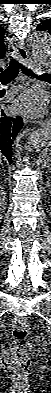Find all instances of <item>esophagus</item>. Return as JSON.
<instances>
[{"label":"esophagus","instance_id":"esophagus-1","mask_svg":"<svg viewBox=\"0 0 51 393\" xmlns=\"http://www.w3.org/2000/svg\"><path fill=\"white\" fill-rule=\"evenodd\" d=\"M12 42L15 45V49L17 51V54H18V57H19L21 63L23 65L31 68L32 63L30 61L29 54H28V51L26 50V48L23 45L17 43V40L15 37L12 38ZM50 124H51V122L49 119L40 121L41 126H49Z\"/></svg>","mask_w":51,"mask_h":393}]
</instances>
